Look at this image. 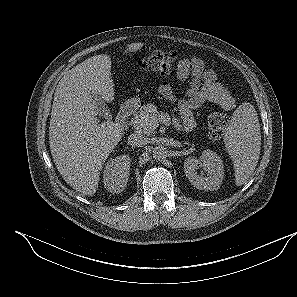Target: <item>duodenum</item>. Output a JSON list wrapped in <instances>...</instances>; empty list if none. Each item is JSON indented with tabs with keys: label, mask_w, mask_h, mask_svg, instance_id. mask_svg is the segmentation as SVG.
Masks as SVG:
<instances>
[{
	"label": "duodenum",
	"mask_w": 297,
	"mask_h": 297,
	"mask_svg": "<svg viewBox=\"0 0 297 297\" xmlns=\"http://www.w3.org/2000/svg\"><path fill=\"white\" fill-rule=\"evenodd\" d=\"M137 102L136 101H128L122 104L119 109L118 116H117V124L121 128H125L127 125V120L129 117L136 111Z\"/></svg>",
	"instance_id": "duodenum-1"
}]
</instances>
